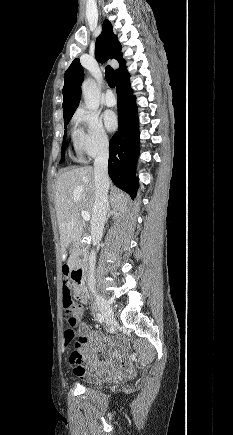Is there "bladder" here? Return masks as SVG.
Returning a JSON list of instances; mask_svg holds the SVG:
<instances>
[{"label": "bladder", "mask_w": 233, "mask_h": 435, "mask_svg": "<svg viewBox=\"0 0 233 435\" xmlns=\"http://www.w3.org/2000/svg\"><path fill=\"white\" fill-rule=\"evenodd\" d=\"M115 380V378L114 379H112V380H110L108 383H112L113 381Z\"/></svg>", "instance_id": "bladder-1"}]
</instances>
